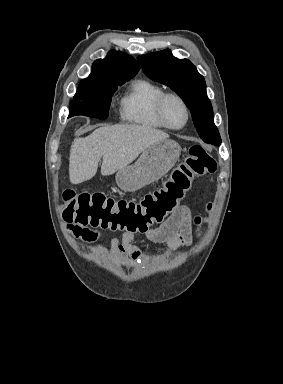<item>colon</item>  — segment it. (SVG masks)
<instances>
[{
    "mask_svg": "<svg viewBox=\"0 0 283 384\" xmlns=\"http://www.w3.org/2000/svg\"><path fill=\"white\" fill-rule=\"evenodd\" d=\"M216 169L211 154L203 146L193 145L170 179L140 200L114 199L102 193L69 189L63 192L62 217L69 225L145 233L178 208L194 179L212 174ZM201 221V217L195 219L197 224Z\"/></svg>",
    "mask_w": 283,
    "mask_h": 384,
    "instance_id": "5ec220e1",
    "label": "colon"
}]
</instances>
